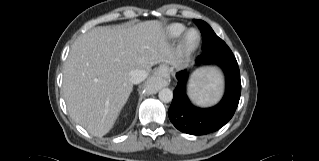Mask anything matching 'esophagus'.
Returning a JSON list of instances; mask_svg holds the SVG:
<instances>
[{"mask_svg":"<svg viewBox=\"0 0 319 161\" xmlns=\"http://www.w3.org/2000/svg\"><path fill=\"white\" fill-rule=\"evenodd\" d=\"M150 85L156 89L159 90L162 87L166 86L168 84L167 79L160 77L159 75H153L149 78Z\"/></svg>","mask_w":319,"mask_h":161,"instance_id":"1","label":"esophagus"}]
</instances>
